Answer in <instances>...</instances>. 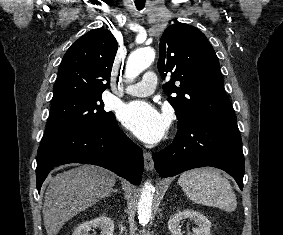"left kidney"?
I'll return each instance as SVG.
<instances>
[{
    "mask_svg": "<svg viewBox=\"0 0 283 235\" xmlns=\"http://www.w3.org/2000/svg\"><path fill=\"white\" fill-rule=\"evenodd\" d=\"M186 218L194 220L197 225V227L193 229V233L189 235H211V222L208 218L200 212L189 209L178 212L170 217L168 221V229L171 232V235H183L181 232V222Z\"/></svg>",
    "mask_w": 283,
    "mask_h": 235,
    "instance_id": "1",
    "label": "left kidney"
}]
</instances>
